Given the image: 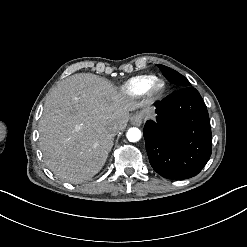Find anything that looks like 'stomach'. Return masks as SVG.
<instances>
[{
  "instance_id": "0dacf381",
  "label": "stomach",
  "mask_w": 247,
  "mask_h": 247,
  "mask_svg": "<svg viewBox=\"0 0 247 247\" xmlns=\"http://www.w3.org/2000/svg\"><path fill=\"white\" fill-rule=\"evenodd\" d=\"M149 108H144L137 113V115L143 120L144 116L149 114Z\"/></svg>"
}]
</instances>
